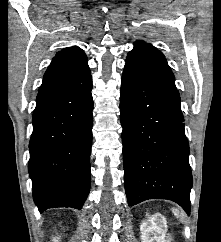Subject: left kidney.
Returning <instances> with one entry per match:
<instances>
[{
    "instance_id": "obj_1",
    "label": "left kidney",
    "mask_w": 221,
    "mask_h": 242,
    "mask_svg": "<svg viewBox=\"0 0 221 242\" xmlns=\"http://www.w3.org/2000/svg\"><path fill=\"white\" fill-rule=\"evenodd\" d=\"M142 242H171L166 239L167 222L160 214L156 213L144 220L140 226Z\"/></svg>"
}]
</instances>
